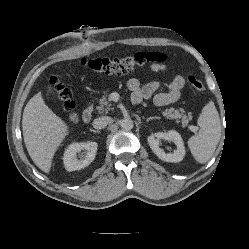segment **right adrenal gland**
<instances>
[{
    "label": "right adrenal gland",
    "mask_w": 249,
    "mask_h": 249,
    "mask_svg": "<svg viewBox=\"0 0 249 249\" xmlns=\"http://www.w3.org/2000/svg\"><path fill=\"white\" fill-rule=\"evenodd\" d=\"M93 133H99V131H96V130H91Z\"/></svg>",
    "instance_id": "2a0ac1e0"
}]
</instances>
